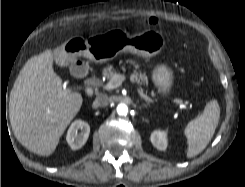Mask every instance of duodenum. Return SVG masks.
Returning <instances> with one entry per match:
<instances>
[{
  "label": "duodenum",
  "instance_id": "duodenum-1",
  "mask_svg": "<svg viewBox=\"0 0 245 187\" xmlns=\"http://www.w3.org/2000/svg\"><path fill=\"white\" fill-rule=\"evenodd\" d=\"M87 89H88V90H91V85H90V84H88Z\"/></svg>",
  "mask_w": 245,
  "mask_h": 187
}]
</instances>
